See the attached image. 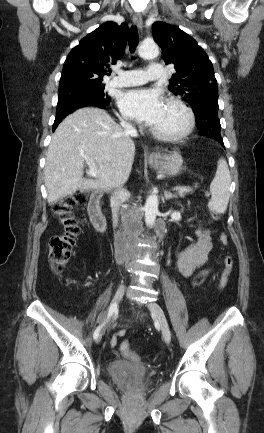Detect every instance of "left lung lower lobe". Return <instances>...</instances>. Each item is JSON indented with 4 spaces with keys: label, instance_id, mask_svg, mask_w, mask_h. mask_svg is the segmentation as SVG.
Returning a JSON list of instances; mask_svg holds the SVG:
<instances>
[{
    "label": "left lung lower lobe",
    "instance_id": "obj_1",
    "mask_svg": "<svg viewBox=\"0 0 264 433\" xmlns=\"http://www.w3.org/2000/svg\"><path fill=\"white\" fill-rule=\"evenodd\" d=\"M217 113L218 111L215 109H203L195 113L196 123L200 135L206 137L214 135L212 139H215L224 146L222 137L217 133L220 131V120Z\"/></svg>",
    "mask_w": 264,
    "mask_h": 433
}]
</instances>
